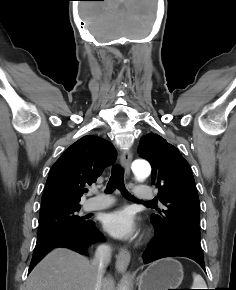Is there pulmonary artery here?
Segmentation results:
<instances>
[{
    "label": "pulmonary artery",
    "mask_w": 236,
    "mask_h": 290,
    "mask_svg": "<svg viewBox=\"0 0 236 290\" xmlns=\"http://www.w3.org/2000/svg\"><path fill=\"white\" fill-rule=\"evenodd\" d=\"M134 197L139 201H148L155 197V191L152 188H136L134 190ZM113 200L107 195H97L96 197L88 199L83 209L85 211L101 210L109 207Z\"/></svg>",
    "instance_id": "e3ab8cb5"
}]
</instances>
